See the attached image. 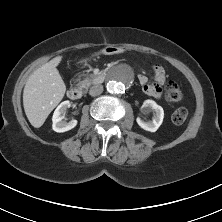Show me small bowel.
<instances>
[{"label": "small bowel", "instance_id": "c3829d8e", "mask_svg": "<svg viewBox=\"0 0 222 222\" xmlns=\"http://www.w3.org/2000/svg\"><path fill=\"white\" fill-rule=\"evenodd\" d=\"M154 82H149L144 75H139L138 80L143 87L145 94L151 97L159 98L161 96L162 85L166 80V72L161 65L153 66Z\"/></svg>", "mask_w": 222, "mask_h": 222}]
</instances>
